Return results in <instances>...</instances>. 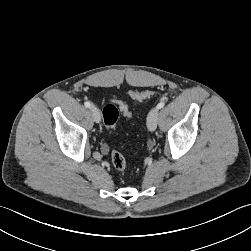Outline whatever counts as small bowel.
Segmentation results:
<instances>
[{"label": "small bowel", "instance_id": "obj_1", "mask_svg": "<svg viewBox=\"0 0 251 251\" xmlns=\"http://www.w3.org/2000/svg\"><path fill=\"white\" fill-rule=\"evenodd\" d=\"M107 151H108V148H107L106 146H103V147H102V152H103V153H107Z\"/></svg>", "mask_w": 251, "mask_h": 251}]
</instances>
